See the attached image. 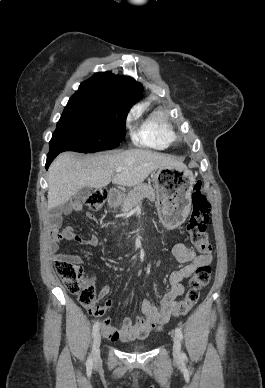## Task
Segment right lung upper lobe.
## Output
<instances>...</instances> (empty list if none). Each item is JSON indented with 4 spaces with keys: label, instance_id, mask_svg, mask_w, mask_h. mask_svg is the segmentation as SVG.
I'll return each mask as SVG.
<instances>
[{
    "label": "right lung upper lobe",
    "instance_id": "1",
    "mask_svg": "<svg viewBox=\"0 0 265 388\" xmlns=\"http://www.w3.org/2000/svg\"><path fill=\"white\" fill-rule=\"evenodd\" d=\"M143 88L131 77H119L110 72H98L81 83L74 95L109 96L137 102Z\"/></svg>",
    "mask_w": 265,
    "mask_h": 388
}]
</instances>
